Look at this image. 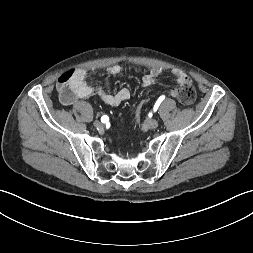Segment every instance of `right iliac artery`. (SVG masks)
Wrapping results in <instances>:
<instances>
[{"label":"right iliac artery","instance_id":"right-iliac-artery-1","mask_svg":"<svg viewBox=\"0 0 253 253\" xmlns=\"http://www.w3.org/2000/svg\"><path fill=\"white\" fill-rule=\"evenodd\" d=\"M101 121H102L103 123L107 122V121H108V116H106V115L102 116V117H101Z\"/></svg>","mask_w":253,"mask_h":253}]
</instances>
